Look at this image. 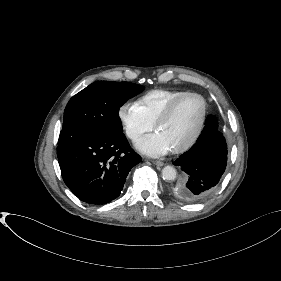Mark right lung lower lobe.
Wrapping results in <instances>:
<instances>
[{"mask_svg":"<svg viewBox=\"0 0 281 281\" xmlns=\"http://www.w3.org/2000/svg\"><path fill=\"white\" fill-rule=\"evenodd\" d=\"M63 180L80 200L106 204L117 198L141 157L123 133L81 136L57 147Z\"/></svg>","mask_w":281,"mask_h":281,"instance_id":"98d812e1","label":"right lung lower lobe"}]
</instances>
